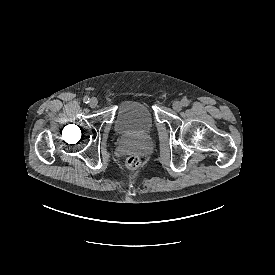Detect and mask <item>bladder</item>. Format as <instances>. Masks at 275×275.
Returning <instances> with one entry per match:
<instances>
[{
	"label": "bladder",
	"instance_id": "bladder-1",
	"mask_svg": "<svg viewBox=\"0 0 275 275\" xmlns=\"http://www.w3.org/2000/svg\"><path fill=\"white\" fill-rule=\"evenodd\" d=\"M112 124L118 136H141L154 131L155 119L146 102L131 98L117 108Z\"/></svg>",
	"mask_w": 275,
	"mask_h": 275
}]
</instances>
